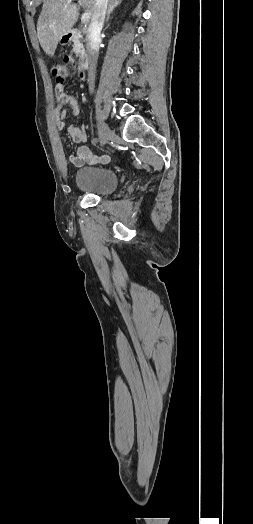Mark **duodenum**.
<instances>
[{
	"instance_id": "410a0bca",
	"label": "duodenum",
	"mask_w": 253,
	"mask_h": 524,
	"mask_svg": "<svg viewBox=\"0 0 253 524\" xmlns=\"http://www.w3.org/2000/svg\"><path fill=\"white\" fill-rule=\"evenodd\" d=\"M79 31L77 29H73L66 34V38L68 40L75 39L78 37ZM78 65L80 68H83L85 71L89 68V58L87 54L84 51L80 52L79 59H78Z\"/></svg>"
}]
</instances>
